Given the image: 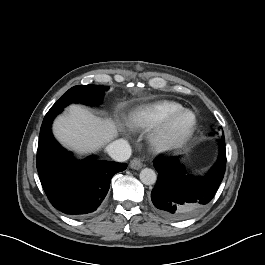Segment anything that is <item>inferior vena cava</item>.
Returning <instances> with one entry per match:
<instances>
[{
	"mask_svg": "<svg viewBox=\"0 0 265 265\" xmlns=\"http://www.w3.org/2000/svg\"><path fill=\"white\" fill-rule=\"evenodd\" d=\"M106 151L112 159L118 162L128 160L132 153L129 143L124 139L113 141L107 145Z\"/></svg>",
	"mask_w": 265,
	"mask_h": 265,
	"instance_id": "inferior-vena-cava-1",
	"label": "inferior vena cava"
}]
</instances>
